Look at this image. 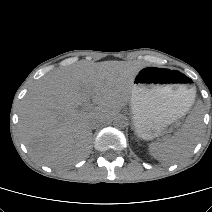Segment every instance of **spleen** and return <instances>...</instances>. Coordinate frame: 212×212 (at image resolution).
Masks as SVG:
<instances>
[{"mask_svg": "<svg viewBox=\"0 0 212 212\" xmlns=\"http://www.w3.org/2000/svg\"><path fill=\"white\" fill-rule=\"evenodd\" d=\"M202 131L200 119L188 117L183 128L163 143H152L149 153L162 163L174 164L187 158L193 151Z\"/></svg>", "mask_w": 212, "mask_h": 212, "instance_id": "spleen-1", "label": "spleen"}]
</instances>
